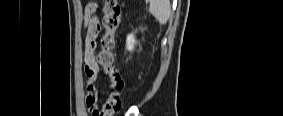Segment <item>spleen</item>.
Masks as SVG:
<instances>
[{"label": "spleen", "instance_id": "spleen-1", "mask_svg": "<svg viewBox=\"0 0 283 116\" xmlns=\"http://www.w3.org/2000/svg\"><path fill=\"white\" fill-rule=\"evenodd\" d=\"M149 12L155 17L160 25H165L171 15L169 0H151Z\"/></svg>", "mask_w": 283, "mask_h": 116}]
</instances>
